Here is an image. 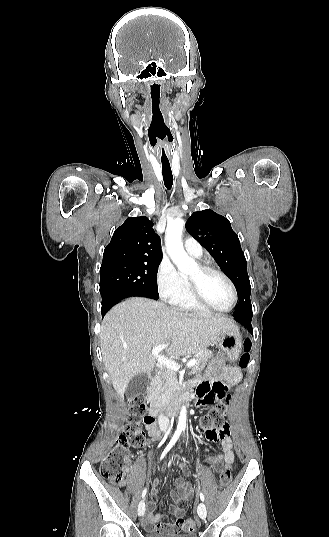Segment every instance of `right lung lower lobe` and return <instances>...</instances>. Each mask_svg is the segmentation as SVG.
<instances>
[{
  "mask_svg": "<svg viewBox=\"0 0 329 537\" xmlns=\"http://www.w3.org/2000/svg\"><path fill=\"white\" fill-rule=\"evenodd\" d=\"M101 296H102V308H101L102 317H104V315L107 313V311L110 309L111 306L118 303L120 300L124 298L131 297V296L151 297V296L137 293V292L117 290V289L105 290L103 293H101ZM154 299H158V298H154Z\"/></svg>",
  "mask_w": 329,
  "mask_h": 537,
  "instance_id": "obj_1",
  "label": "right lung lower lobe"
}]
</instances>
